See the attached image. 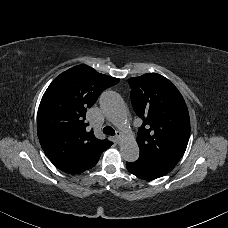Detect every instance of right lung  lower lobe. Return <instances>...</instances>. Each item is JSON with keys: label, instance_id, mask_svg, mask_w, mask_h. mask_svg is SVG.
I'll return each instance as SVG.
<instances>
[{"label": "right lung lower lobe", "instance_id": "obj_1", "mask_svg": "<svg viewBox=\"0 0 228 228\" xmlns=\"http://www.w3.org/2000/svg\"><path fill=\"white\" fill-rule=\"evenodd\" d=\"M100 155L101 153L92 155L65 172L70 174H76V173L83 172L87 169H90L97 164Z\"/></svg>", "mask_w": 228, "mask_h": 228}]
</instances>
